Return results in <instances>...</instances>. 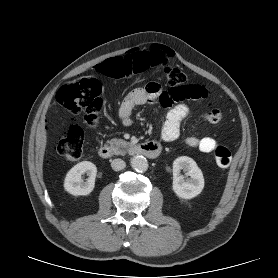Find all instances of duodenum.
Masks as SVG:
<instances>
[{
  "label": "duodenum",
  "instance_id": "obj_1",
  "mask_svg": "<svg viewBox=\"0 0 278 278\" xmlns=\"http://www.w3.org/2000/svg\"><path fill=\"white\" fill-rule=\"evenodd\" d=\"M161 146L156 142H143L131 144L127 148V152L132 155H143L150 159H155L161 154ZM100 157L104 159L111 158L117 154V150L111 146L104 145L98 150Z\"/></svg>",
  "mask_w": 278,
  "mask_h": 278
}]
</instances>
